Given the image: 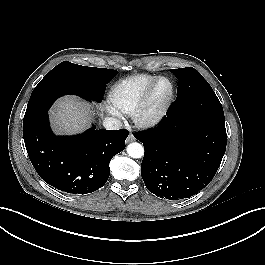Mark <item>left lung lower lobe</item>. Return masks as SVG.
I'll list each match as a JSON object with an SVG mask.
<instances>
[{"mask_svg":"<svg viewBox=\"0 0 265 265\" xmlns=\"http://www.w3.org/2000/svg\"><path fill=\"white\" fill-rule=\"evenodd\" d=\"M145 154L141 176L160 198H189L213 179L226 150L225 121L198 114L173 115L155 129L134 133Z\"/></svg>","mask_w":265,"mask_h":265,"instance_id":"obj_1","label":"left lung lower lobe"}]
</instances>
